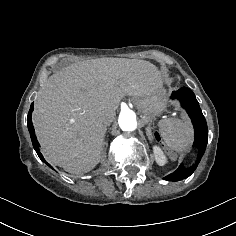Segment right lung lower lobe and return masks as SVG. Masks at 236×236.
Wrapping results in <instances>:
<instances>
[{"label":"right lung lower lobe","mask_w":236,"mask_h":236,"mask_svg":"<svg viewBox=\"0 0 236 236\" xmlns=\"http://www.w3.org/2000/svg\"><path fill=\"white\" fill-rule=\"evenodd\" d=\"M33 109H34V106H33V103H32L31 107H30L29 114H28V129H29V132H30V136H31V140H32V144L34 146V149L37 151L39 158L43 162H45L42 154L39 151L40 145H39V143L37 141V138H36V135H35V131H34V127H33L32 120H31V114H32Z\"/></svg>","instance_id":"98d812e1"}]
</instances>
